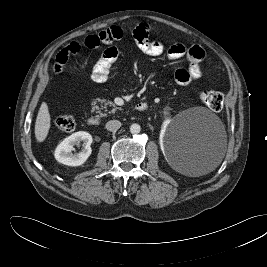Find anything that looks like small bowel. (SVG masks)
Segmentation results:
<instances>
[{
    "label": "small bowel",
    "instance_id": "c3829d8e",
    "mask_svg": "<svg viewBox=\"0 0 267 267\" xmlns=\"http://www.w3.org/2000/svg\"><path fill=\"white\" fill-rule=\"evenodd\" d=\"M124 36L121 27L112 26L97 34L87 36L82 42H72L64 47L56 56L55 72L60 73L68 61L77 55L83 48L94 50L102 44H106L101 57L95 63L91 77L93 81L102 83L109 76L112 65L119 56L118 49L112 45ZM149 26L145 23L139 24L133 30V38L137 47L145 54L158 56L163 53L164 46L161 42L149 40ZM167 57L171 60L185 58L187 66L175 72V81L179 85H188L201 77L200 62L204 57V50L199 46L186 47L183 44H173L167 50Z\"/></svg>",
    "mask_w": 267,
    "mask_h": 267
}]
</instances>
